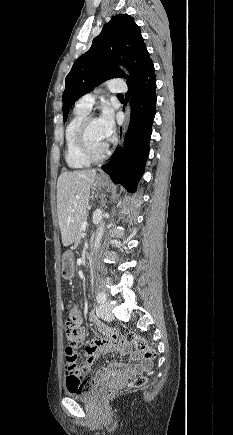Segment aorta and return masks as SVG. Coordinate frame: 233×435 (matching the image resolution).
Instances as JSON below:
<instances>
[{"mask_svg": "<svg viewBox=\"0 0 233 435\" xmlns=\"http://www.w3.org/2000/svg\"><path fill=\"white\" fill-rule=\"evenodd\" d=\"M122 69H124V68H122ZM124 71L126 72V74H128V72L125 69H124ZM130 113H131L130 106L127 105V107H126L127 124L130 121ZM125 131H126V129H125ZM104 228H105V224H104V222H101L98 229H97V232H96V238H95V243H94V252H96L99 248L100 241H101L103 233H104Z\"/></svg>", "mask_w": 233, "mask_h": 435, "instance_id": "762f6f07", "label": "aorta"}]
</instances>
